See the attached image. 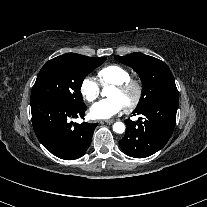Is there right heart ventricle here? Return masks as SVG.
<instances>
[{
  "mask_svg": "<svg viewBox=\"0 0 207 207\" xmlns=\"http://www.w3.org/2000/svg\"><path fill=\"white\" fill-rule=\"evenodd\" d=\"M98 81L102 84H119L130 78L126 68L117 64L107 65L97 72Z\"/></svg>",
  "mask_w": 207,
  "mask_h": 207,
  "instance_id": "right-heart-ventricle-1",
  "label": "right heart ventricle"
}]
</instances>
